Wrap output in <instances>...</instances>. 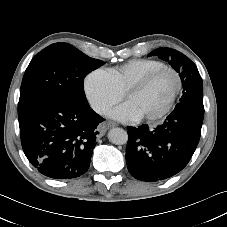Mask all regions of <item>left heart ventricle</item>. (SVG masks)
Here are the masks:
<instances>
[{
    "label": "left heart ventricle",
    "mask_w": 227,
    "mask_h": 227,
    "mask_svg": "<svg viewBox=\"0 0 227 227\" xmlns=\"http://www.w3.org/2000/svg\"><path fill=\"white\" fill-rule=\"evenodd\" d=\"M177 88L173 72L166 71L153 79L144 89L128 97L125 103L141 118L153 117L167 105Z\"/></svg>",
    "instance_id": "b2bd125f"
}]
</instances>
